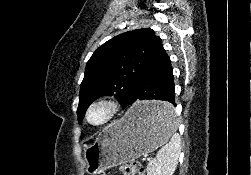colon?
Wrapping results in <instances>:
<instances>
[{"mask_svg": "<svg viewBox=\"0 0 251 175\" xmlns=\"http://www.w3.org/2000/svg\"><path fill=\"white\" fill-rule=\"evenodd\" d=\"M121 175H145L144 168L139 161H130L122 163L118 166ZM100 175H107L102 172Z\"/></svg>", "mask_w": 251, "mask_h": 175, "instance_id": "5ec220e1", "label": "colon"}]
</instances>
